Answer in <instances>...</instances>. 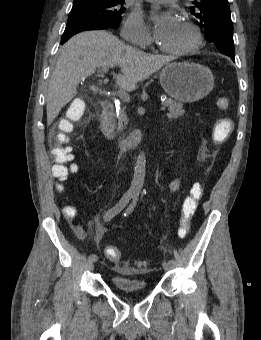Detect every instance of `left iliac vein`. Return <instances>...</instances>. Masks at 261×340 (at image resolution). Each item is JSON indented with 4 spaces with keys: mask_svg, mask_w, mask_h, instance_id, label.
<instances>
[{
    "mask_svg": "<svg viewBox=\"0 0 261 340\" xmlns=\"http://www.w3.org/2000/svg\"><path fill=\"white\" fill-rule=\"evenodd\" d=\"M162 266L165 271H169L170 269H172V265H170L167 261H164Z\"/></svg>",
    "mask_w": 261,
    "mask_h": 340,
    "instance_id": "obj_1",
    "label": "left iliac vein"
}]
</instances>
